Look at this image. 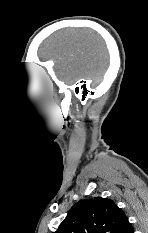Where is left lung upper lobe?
I'll list each match as a JSON object with an SVG mask.
<instances>
[{
	"label": "left lung upper lobe",
	"mask_w": 148,
	"mask_h": 233,
	"mask_svg": "<svg viewBox=\"0 0 148 233\" xmlns=\"http://www.w3.org/2000/svg\"><path fill=\"white\" fill-rule=\"evenodd\" d=\"M131 227L113 200L96 197L74 204L54 233H126Z\"/></svg>",
	"instance_id": "1"
}]
</instances>
